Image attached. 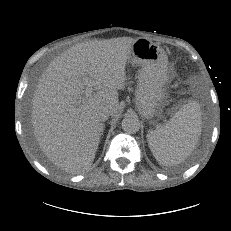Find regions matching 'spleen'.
I'll list each match as a JSON object with an SVG mask.
<instances>
[{
	"label": "spleen",
	"instance_id": "1",
	"mask_svg": "<svg viewBox=\"0 0 231 231\" xmlns=\"http://www.w3.org/2000/svg\"><path fill=\"white\" fill-rule=\"evenodd\" d=\"M201 131L200 105L192 101L184 104L165 125L150 131L147 141L160 165L173 166L192 153Z\"/></svg>",
	"mask_w": 231,
	"mask_h": 231
}]
</instances>
